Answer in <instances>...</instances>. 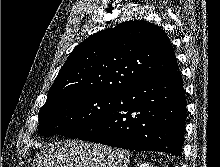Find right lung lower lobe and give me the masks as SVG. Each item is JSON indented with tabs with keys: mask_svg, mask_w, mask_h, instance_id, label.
<instances>
[{
	"mask_svg": "<svg viewBox=\"0 0 220 167\" xmlns=\"http://www.w3.org/2000/svg\"><path fill=\"white\" fill-rule=\"evenodd\" d=\"M186 98L179 69L117 93L104 117L78 139L181 155Z\"/></svg>",
	"mask_w": 220,
	"mask_h": 167,
	"instance_id": "obj_1",
	"label": "right lung lower lobe"
}]
</instances>
